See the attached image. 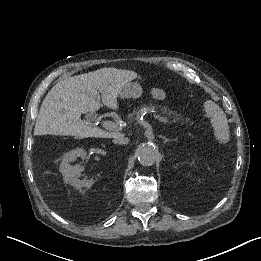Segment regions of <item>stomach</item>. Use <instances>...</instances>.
Masks as SVG:
<instances>
[{
    "label": "stomach",
    "instance_id": "stomach-1",
    "mask_svg": "<svg viewBox=\"0 0 261 261\" xmlns=\"http://www.w3.org/2000/svg\"><path fill=\"white\" fill-rule=\"evenodd\" d=\"M143 93V89L140 84L136 82H129L123 87L119 96L121 98H139Z\"/></svg>",
    "mask_w": 261,
    "mask_h": 261
}]
</instances>
